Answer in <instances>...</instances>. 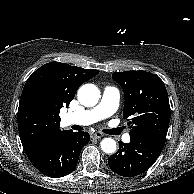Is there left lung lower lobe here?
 Listing matches in <instances>:
<instances>
[{
    "label": "left lung lower lobe",
    "mask_w": 194,
    "mask_h": 194,
    "mask_svg": "<svg viewBox=\"0 0 194 194\" xmlns=\"http://www.w3.org/2000/svg\"><path fill=\"white\" fill-rule=\"evenodd\" d=\"M165 140L139 132L130 133V143L119 142V150L108 158L109 167L124 177L140 175L155 163Z\"/></svg>",
    "instance_id": "0a47b994"
}]
</instances>
